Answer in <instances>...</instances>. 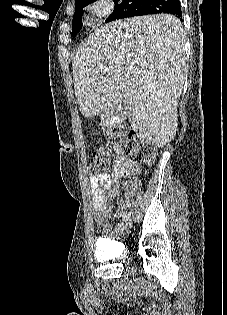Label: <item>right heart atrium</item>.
<instances>
[{
	"instance_id": "right-heart-atrium-1",
	"label": "right heart atrium",
	"mask_w": 227,
	"mask_h": 315,
	"mask_svg": "<svg viewBox=\"0 0 227 315\" xmlns=\"http://www.w3.org/2000/svg\"><path fill=\"white\" fill-rule=\"evenodd\" d=\"M114 8L113 0H93L89 6V13L96 20H103L108 17Z\"/></svg>"
}]
</instances>
